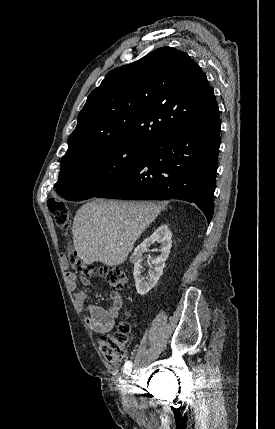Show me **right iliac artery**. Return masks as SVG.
<instances>
[{"instance_id": "obj_1", "label": "right iliac artery", "mask_w": 275, "mask_h": 429, "mask_svg": "<svg viewBox=\"0 0 275 429\" xmlns=\"http://www.w3.org/2000/svg\"><path fill=\"white\" fill-rule=\"evenodd\" d=\"M132 371V362L131 361H127L124 365V373L126 375H129Z\"/></svg>"}]
</instances>
